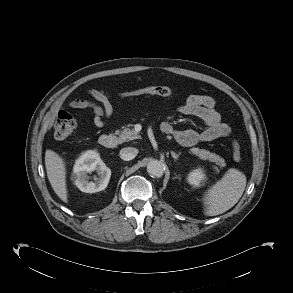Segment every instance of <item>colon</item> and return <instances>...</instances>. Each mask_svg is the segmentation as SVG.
<instances>
[{
	"instance_id": "1",
	"label": "colon",
	"mask_w": 293,
	"mask_h": 293,
	"mask_svg": "<svg viewBox=\"0 0 293 293\" xmlns=\"http://www.w3.org/2000/svg\"><path fill=\"white\" fill-rule=\"evenodd\" d=\"M174 90L168 86H149L138 88L122 93L124 96H138V95H157L170 96ZM76 127L74 117L64 110L60 111L55 119L53 130L54 136L61 141L69 139ZM233 158L235 161H240L242 158L240 143L237 139L232 141Z\"/></svg>"
}]
</instances>
